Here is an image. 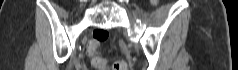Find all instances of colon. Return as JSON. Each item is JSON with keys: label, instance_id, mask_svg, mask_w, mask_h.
Segmentation results:
<instances>
[{"label": "colon", "instance_id": "1", "mask_svg": "<svg viewBox=\"0 0 238 70\" xmlns=\"http://www.w3.org/2000/svg\"><path fill=\"white\" fill-rule=\"evenodd\" d=\"M108 38V32L105 30H96L94 33V41L88 47V54L93 57L92 64L98 70L108 69V65L104 59L97 56L98 43ZM111 70H127V65L123 61H119L111 67Z\"/></svg>", "mask_w": 238, "mask_h": 70}]
</instances>
